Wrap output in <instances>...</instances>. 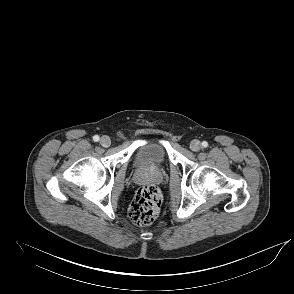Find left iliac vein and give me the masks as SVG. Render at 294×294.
I'll list each match as a JSON object with an SVG mask.
<instances>
[{
  "label": "left iliac vein",
  "mask_w": 294,
  "mask_h": 294,
  "mask_svg": "<svg viewBox=\"0 0 294 294\" xmlns=\"http://www.w3.org/2000/svg\"><path fill=\"white\" fill-rule=\"evenodd\" d=\"M190 148L192 151L194 152H197L201 149V143L200 141L198 140H193L191 143H190Z\"/></svg>",
  "instance_id": "left-iliac-vein-1"
}]
</instances>
